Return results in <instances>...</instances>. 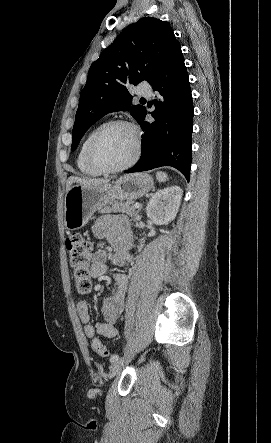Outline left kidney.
Returning <instances> with one entry per match:
<instances>
[{"label":"left kidney","instance_id":"obj_1","mask_svg":"<svg viewBox=\"0 0 271 443\" xmlns=\"http://www.w3.org/2000/svg\"><path fill=\"white\" fill-rule=\"evenodd\" d=\"M183 190L179 186H171L165 190H159L152 196L147 204V216L156 225L174 220L180 206Z\"/></svg>","mask_w":271,"mask_h":443}]
</instances>
